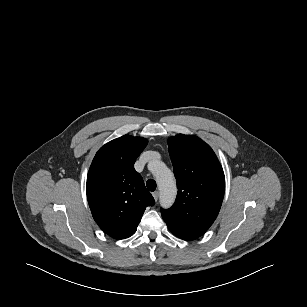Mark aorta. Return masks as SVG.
<instances>
[{"label":"aorta","instance_id":"762f6f07","mask_svg":"<svg viewBox=\"0 0 307 307\" xmlns=\"http://www.w3.org/2000/svg\"><path fill=\"white\" fill-rule=\"evenodd\" d=\"M150 169L157 180L160 191V204L168 208L176 198V181L172 171L161 161L150 163Z\"/></svg>","mask_w":307,"mask_h":307}]
</instances>
